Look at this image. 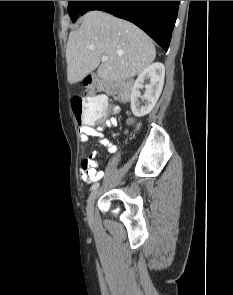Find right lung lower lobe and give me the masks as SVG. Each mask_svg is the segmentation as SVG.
I'll return each mask as SVG.
<instances>
[{
    "label": "right lung lower lobe",
    "mask_w": 233,
    "mask_h": 295,
    "mask_svg": "<svg viewBox=\"0 0 233 295\" xmlns=\"http://www.w3.org/2000/svg\"><path fill=\"white\" fill-rule=\"evenodd\" d=\"M180 1H86L81 15L101 10L128 20L168 50Z\"/></svg>",
    "instance_id": "obj_1"
}]
</instances>
